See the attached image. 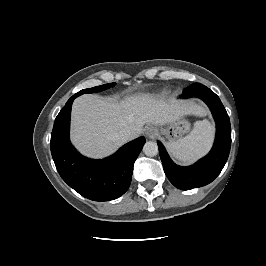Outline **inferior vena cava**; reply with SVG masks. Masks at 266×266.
Masks as SVG:
<instances>
[{"mask_svg": "<svg viewBox=\"0 0 266 266\" xmlns=\"http://www.w3.org/2000/svg\"><path fill=\"white\" fill-rule=\"evenodd\" d=\"M131 137V131L128 130V129H122L118 132V138L121 140V141H127L129 140Z\"/></svg>", "mask_w": 266, "mask_h": 266, "instance_id": "obj_1", "label": "inferior vena cava"}]
</instances>
